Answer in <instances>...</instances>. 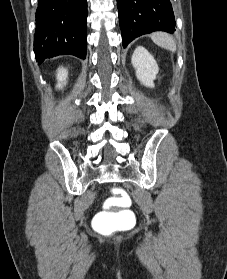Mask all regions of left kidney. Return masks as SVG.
<instances>
[{"label":"left kidney","mask_w":227,"mask_h":279,"mask_svg":"<svg viewBox=\"0 0 227 279\" xmlns=\"http://www.w3.org/2000/svg\"><path fill=\"white\" fill-rule=\"evenodd\" d=\"M132 65L136 70L137 79L146 87H154V80L159 71L154 57L142 46L135 49Z\"/></svg>","instance_id":"left-kidney-1"}]
</instances>
